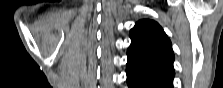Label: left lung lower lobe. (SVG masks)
Listing matches in <instances>:
<instances>
[{"label": "left lung lower lobe", "instance_id": "1", "mask_svg": "<svg viewBox=\"0 0 223 88\" xmlns=\"http://www.w3.org/2000/svg\"><path fill=\"white\" fill-rule=\"evenodd\" d=\"M129 88H173V77L147 67L127 63Z\"/></svg>", "mask_w": 223, "mask_h": 88}]
</instances>
